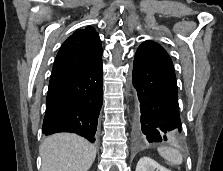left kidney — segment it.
<instances>
[{
  "label": "left kidney",
  "instance_id": "5707ae66",
  "mask_svg": "<svg viewBox=\"0 0 223 171\" xmlns=\"http://www.w3.org/2000/svg\"><path fill=\"white\" fill-rule=\"evenodd\" d=\"M171 171L149 157H142L137 163L136 171Z\"/></svg>",
  "mask_w": 223,
  "mask_h": 171
}]
</instances>
